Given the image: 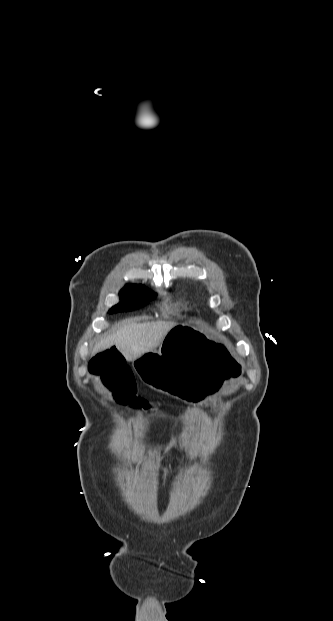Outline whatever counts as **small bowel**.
I'll list each match as a JSON object with an SVG mask.
<instances>
[{
  "label": "small bowel",
  "mask_w": 333,
  "mask_h": 621,
  "mask_svg": "<svg viewBox=\"0 0 333 621\" xmlns=\"http://www.w3.org/2000/svg\"><path fill=\"white\" fill-rule=\"evenodd\" d=\"M89 372L99 377L103 386L114 399L135 409L150 408L149 402L137 396L134 374L125 356L116 348L109 347L97 353L88 364Z\"/></svg>",
  "instance_id": "obj_1"
}]
</instances>
